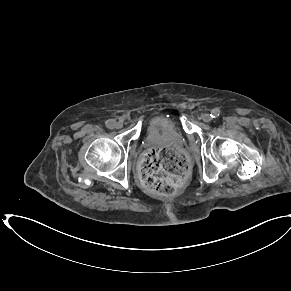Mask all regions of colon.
Wrapping results in <instances>:
<instances>
[{
    "mask_svg": "<svg viewBox=\"0 0 291 291\" xmlns=\"http://www.w3.org/2000/svg\"><path fill=\"white\" fill-rule=\"evenodd\" d=\"M187 170V159L174 148L153 149L142 158L140 179L149 191L166 196L180 188Z\"/></svg>",
    "mask_w": 291,
    "mask_h": 291,
    "instance_id": "obj_1",
    "label": "colon"
}]
</instances>
